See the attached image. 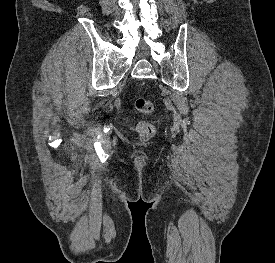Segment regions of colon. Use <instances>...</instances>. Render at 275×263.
I'll use <instances>...</instances> for the list:
<instances>
[{"label":"colon","mask_w":275,"mask_h":263,"mask_svg":"<svg viewBox=\"0 0 275 263\" xmlns=\"http://www.w3.org/2000/svg\"><path fill=\"white\" fill-rule=\"evenodd\" d=\"M135 107L136 110L143 115L150 114L154 109L153 102L145 97L136 98ZM135 129L140 138L143 140L150 139L155 133L154 125L151 122L145 120H139Z\"/></svg>","instance_id":"colon-1"}]
</instances>
